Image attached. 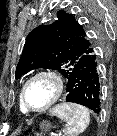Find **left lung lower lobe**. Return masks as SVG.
Returning a JSON list of instances; mask_svg holds the SVG:
<instances>
[{
	"instance_id": "0a47b994",
	"label": "left lung lower lobe",
	"mask_w": 117,
	"mask_h": 136,
	"mask_svg": "<svg viewBox=\"0 0 117 136\" xmlns=\"http://www.w3.org/2000/svg\"><path fill=\"white\" fill-rule=\"evenodd\" d=\"M67 79L66 101L84 105L99 114L100 77L94 49L77 61Z\"/></svg>"
}]
</instances>
